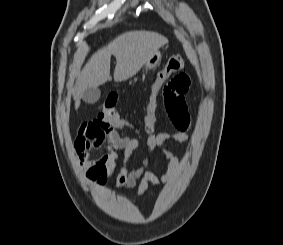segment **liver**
Listing matches in <instances>:
<instances>
[{
	"label": "liver",
	"mask_w": 283,
	"mask_h": 245,
	"mask_svg": "<svg viewBox=\"0 0 283 245\" xmlns=\"http://www.w3.org/2000/svg\"><path fill=\"white\" fill-rule=\"evenodd\" d=\"M168 39L150 31H130L116 37L95 52L79 73L73 92L75 108L80 104L84 91L104 84L110 77V61L116 58L114 80L125 81L133 77Z\"/></svg>",
	"instance_id": "6515ba94"
}]
</instances>
